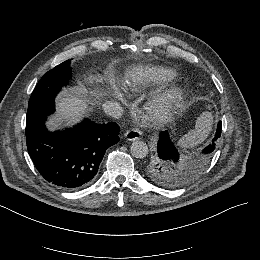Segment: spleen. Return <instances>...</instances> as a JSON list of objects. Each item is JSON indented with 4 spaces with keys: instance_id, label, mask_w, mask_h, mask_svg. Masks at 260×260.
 Wrapping results in <instances>:
<instances>
[{
    "instance_id": "spleen-1",
    "label": "spleen",
    "mask_w": 260,
    "mask_h": 260,
    "mask_svg": "<svg viewBox=\"0 0 260 260\" xmlns=\"http://www.w3.org/2000/svg\"><path fill=\"white\" fill-rule=\"evenodd\" d=\"M207 108L210 110L211 105ZM213 115L210 111H205L197 117L195 122V128L190 130L187 134L182 136L177 145L183 149L193 148L206 140L210 132L212 131Z\"/></svg>"
}]
</instances>
